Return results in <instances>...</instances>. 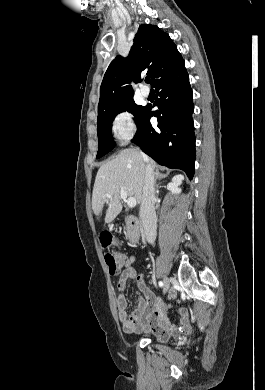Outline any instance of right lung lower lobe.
Wrapping results in <instances>:
<instances>
[{"instance_id":"1","label":"right lung lower lobe","mask_w":265,"mask_h":390,"mask_svg":"<svg viewBox=\"0 0 265 390\" xmlns=\"http://www.w3.org/2000/svg\"><path fill=\"white\" fill-rule=\"evenodd\" d=\"M154 87L160 97L154 104L158 109L152 112V106H147L132 142L160 165L181 169L192 179L195 166L194 105L184 60L162 76ZM151 116L158 117L157 126L151 125Z\"/></svg>"}]
</instances>
